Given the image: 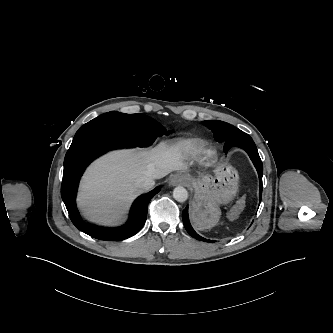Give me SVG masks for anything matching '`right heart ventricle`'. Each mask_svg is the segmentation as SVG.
Here are the masks:
<instances>
[{
	"instance_id": "e07e8e85",
	"label": "right heart ventricle",
	"mask_w": 333,
	"mask_h": 333,
	"mask_svg": "<svg viewBox=\"0 0 333 333\" xmlns=\"http://www.w3.org/2000/svg\"><path fill=\"white\" fill-rule=\"evenodd\" d=\"M179 148L189 156H197L205 149V142L200 139H188L181 142Z\"/></svg>"
}]
</instances>
